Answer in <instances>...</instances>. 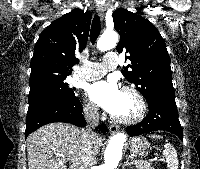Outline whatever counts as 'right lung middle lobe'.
<instances>
[{
	"mask_svg": "<svg viewBox=\"0 0 200 169\" xmlns=\"http://www.w3.org/2000/svg\"><path fill=\"white\" fill-rule=\"evenodd\" d=\"M74 90L65 79L42 81L30 87L29 105L50 101L70 103L76 98Z\"/></svg>",
	"mask_w": 200,
	"mask_h": 169,
	"instance_id": "obj_1",
	"label": "right lung middle lobe"
}]
</instances>
